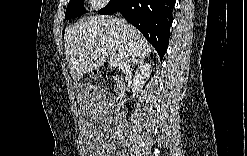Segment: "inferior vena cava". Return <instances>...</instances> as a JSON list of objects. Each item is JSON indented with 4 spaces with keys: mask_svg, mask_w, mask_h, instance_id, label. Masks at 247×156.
I'll return each mask as SVG.
<instances>
[{
    "mask_svg": "<svg viewBox=\"0 0 247 156\" xmlns=\"http://www.w3.org/2000/svg\"><path fill=\"white\" fill-rule=\"evenodd\" d=\"M117 19L122 23L123 19H120V18H117ZM122 27H123L124 33H126L128 30V26L124 23V24H122ZM134 60H135V55L132 51L129 50V52L125 55V61H124L123 66L121 68L123 73H125V74L131 73V64L134 63Z\"/></svg>",
    "mask_w": 247,
    "mask_h": 156,
    "instance_id": "obj_1",
    "label": "inferior vena cava"
}]
</instances>
